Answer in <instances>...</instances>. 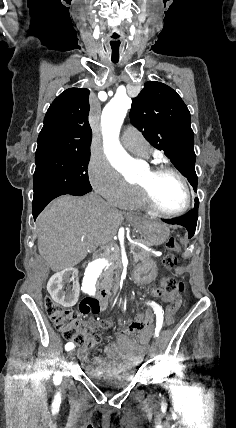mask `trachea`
Returning a JSON list of instances; mask_svg holds the SVG:
<instances>
[{
	"label": "trachea",
	"instance_id": "3493384b",
	"mask_svg": "<svg viewBox=\"0 0 236 428\" xmlns=\"http://www.w3.org/2000/svg\"><path fill=\"white\" fill-rule=\"evenodd\" d=\"M121 35H116L115 33H110L108 35V40L111 45L109 48L108 58L110 64H119L122 59V52L120 51L121 45Z\"/></svg>",
	"mask_w": 236,
	"mask_h": 428
}]
</instances>
